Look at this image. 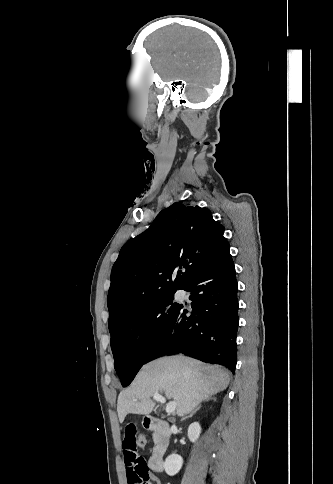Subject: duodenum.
Listing matches in <instances>:
<instances>
[{"mask_svg": "<svg viewBox=\"0 0 333 484\" xmlns=\"http://www.w3.org/2000/svg\"><path fill=\"white\" fill-rule=\"evenodd\" d=\"M144 427L148 430L155 431L159 436L149 463L150 468L153 471L162 472L164 469L163 455L167 450L169 437L171 435L170 425L166 421L158 418L146 417L144 420Z\"/></svg>", "mask_w": 333, "mask_h": 484, "instance_id": "410a0bca", "label": "duodenum"}]
</instances>
